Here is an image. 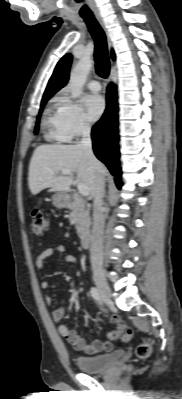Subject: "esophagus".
Listing matches in <instances>:
<instances>
[{"mask_svg": "<svg viewBox=\"0 0 182 399\" xmlns=\"http://www.w3.org/2000/svg\"><path fill=\"white\" fill-rule=\"evenodd\" d=\"M95 17H96L97 21L99 22V24L101 25V27L103 28V30H104L105 33H106L107 41H108V46H109V48H110V47H111V41H110V39H109L108 32H107L106 27H105V25H104L103 19H102L101 15L98 14V13L95 14ZM111 80H112V75H110V77H109V81H111Z\"/></svg>", "mask_w": 182, "mask_h": 399, "instance_id": "34e87169", "label": "esophagus"}]
</instances>
